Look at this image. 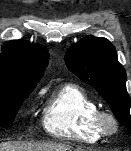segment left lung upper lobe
Masks as SVG:
<instances>
[{"label": "left lung upper lobe", "instance_id": "left-lung-upper-lobe-1", "mask_svg": "<svg viewBox=\"0 0 131 151\" xmlns=\"http://www.w3.org/2000/svg\"><path fill=\"white\" fill-rule=\"evenodd\" d=\"M65 62L70 71L98 91L118 121L131 130L126 71L117 60L115 47L105 38L87 36L68 49Z\"/></svg>", "mask_w": 131, "mask_h": 151}]
</instances>
